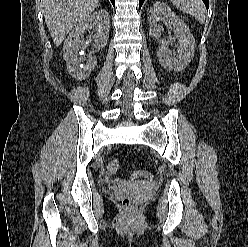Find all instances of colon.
<instances>
[{
    "label": "colon",
    "mask_w": 248,
    "mask_h": 247,
    "mask_svg": "<svg viewBox=\"0 0 248 247\" xmlns=\"http://www.w3.org/2000/svg\"><path fill=\"white\" fill-rule=\"evenodd\" d=\"M120 168V162L117 159H112L108 163V169L111 172H117ZM133 178H139V177H144L146 179H151L152 175L149 172L145 171H135L132 174ZM122 205L125 209L127 210H132L136 207V201L132 198H124L122 201Z\"/></svg>",
    "instance_id": "colon-1"
}]
</instances>
